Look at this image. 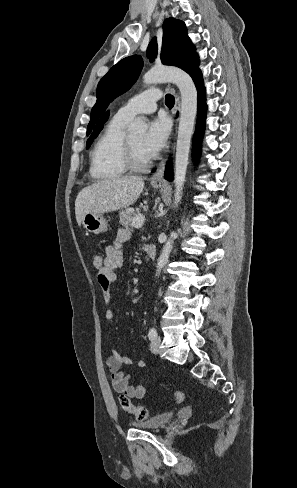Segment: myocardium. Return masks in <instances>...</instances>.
<instances>
[{
	"instance_id": "1",
	"label": "myocardium",
	"mask_w": 297,
	"mask_h": 488,
	"mask_svg": "<svg viewBox=\"0 0 297 488\" xmlns=\"http://www.w3.org/2000/svg\"><path fill=\"white\" fill-rule=\"evenodd\" d=\"M124 163L127 169L133 171H143L148 168L151 164V159H147L145 161H140L137 159L134 147L130 141V138L127 137L125 141V149H124Z\"/></svg>"
}]
</instances>
